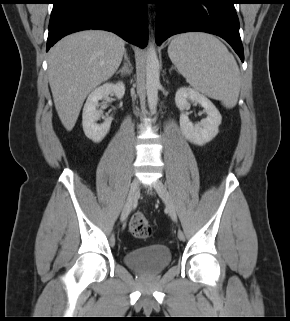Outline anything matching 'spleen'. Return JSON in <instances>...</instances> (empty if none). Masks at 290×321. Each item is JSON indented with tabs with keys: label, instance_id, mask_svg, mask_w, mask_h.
<instances>
[{
	"label": "spleen",
	"instance_id": "3e777b00",
	"mask_svg": "<svg viewBox=\"0 0 290 321\" xmlns=\"http://www.w3.org/2000/svg\"><path fill=\"white\" fill-rule=\"evenodd\" d=\"M168 55L197 91L234 107L240 92V72L233 55L216 37L186 33L175 37Z\"/></svg>",
	"mask_w": 290,
	"mask_h": 321
}]
</instances>
